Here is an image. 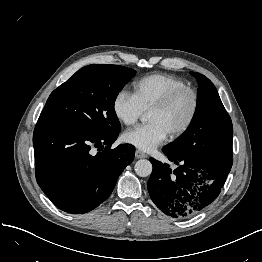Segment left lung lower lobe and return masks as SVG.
<instances>
[{
    "instance_id": "1",
    "label": "left lung lower lobe",
    "mask_w": 262,
    "mask_h": 262,
    "mask_svg": "<svg viewBox=\"0 0 262 262\" xmlns=\"http://www.w3.org/2000/svg\"><path fill=\"white\" fill-rule=\"evenodd\" d=\"M178 167L150 158L153 171L147 184L155 205L173 218H190L211 204L219 195L232 167V154L217 166H208L193 159L173 155L162 149Z\"/></svg>"
}]
</instances>
